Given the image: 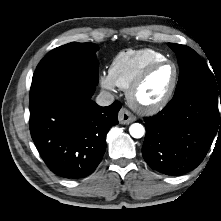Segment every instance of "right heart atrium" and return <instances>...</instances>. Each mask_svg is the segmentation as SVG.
I'll list each match as a JSON object with an SVG mask.
<instances>
[{"label": "right heart atrium", "mask_w": 221, "mask_h": 221, "mask_svg": "<svg viewBox=\"0 0 221 221\" xmlns=\"http://www.w3.org/2000/svg\"><path fill=\"white\" fill-rule=\"evenodd\" d=\"M99 83L102 88L109 90V91H114L116 84L110 77L109 73H101L99 76Z\"/></svg>", "instance_id": "obj_1"}]
</instances>
